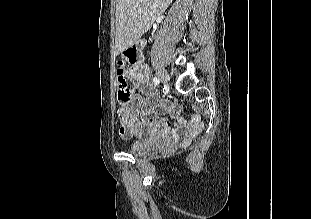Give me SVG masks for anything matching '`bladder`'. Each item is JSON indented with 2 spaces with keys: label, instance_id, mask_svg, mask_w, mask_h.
<instances>
[{
  "label": "bladder",
  "instance_id": "1",
  "mask_svg": "<svg viewBox=\"0 0 311 219\" xmlns=\"http://www.w3.org/2000/svg\"><path fill=\"white\" fill-rule=\"evenodd\" d=\"M153 149V142L142 141L133 142L129 150L134 155H143L149 153Z\"/></svg>",
  "mask_w": 311,
  "mask_h": 219
}]
</instances>
